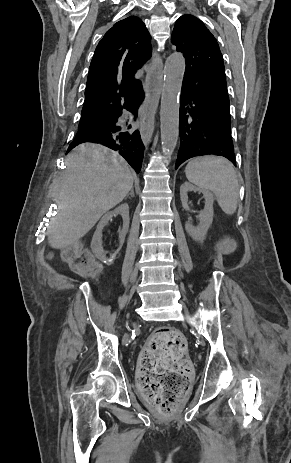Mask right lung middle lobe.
Instances as JSON below:
<instances>
[{
	"label": "right lung middle lobe",
	"instance_id": "1",
	"mask_svg": "<svg viewBox=\"0 0 291 463\" xmlns=\"http://www.w3.org/2000/svg\"><path fill=\"white\" fill-rule=\"evenodd\" d=\"M92 124H93V123H91V122H83V121H81V122L79 123V128L87 127V126H90V125H92Z\"/></svg>",
	"mask_w": 291,
	"mask_h": 463
}]
</instances>
